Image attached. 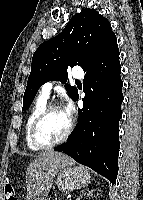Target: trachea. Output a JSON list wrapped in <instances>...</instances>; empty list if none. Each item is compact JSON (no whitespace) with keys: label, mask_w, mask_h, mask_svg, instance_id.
I'll use <instances>...</instances> for the list:
<instances>
[{"label":"trachea","mask_w":143,"mask_h":200,"mask_svg":"<svg viewBox=\"0 0 143 200\" xmlns=\"http://www.w3.org/2000/svg\"><path fill=\"white\" fill-rule=\"evenodd\" d=\"M75 82H76V83H80V81H78V80H76Z\"/></svg>","instance_id":"1"}]
</instances>
